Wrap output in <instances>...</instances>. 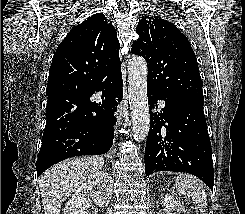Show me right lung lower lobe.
Segmentation results:
<instances>
[{
	"label": "right lung lower lobe",
	"mask_w": 245,
	"mask_h": 214,
	"mask_svg": "<svg viewBox=\"0 0 245 214\" xmlns=\"http://www.w3.org/2000/svg\"><path fill=\"white\" fill-rule=\"evenodd\" d=\"M122 74L106 78L96 92L102 102L90 96L74 102L64 94L47 98L46 126L36 161L37 176L50 166L70 157L104 154L112 147L117 102L123 98Z\"/></svg>",
	"instance_id": "obj_1"
}]
</instances>
